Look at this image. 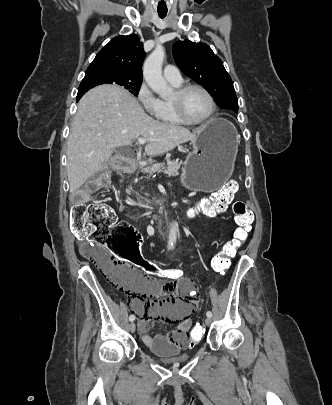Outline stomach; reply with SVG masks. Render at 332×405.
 I'll return each instance as SVG.
<instances>
[{
	"label": "stomach",
	"mask_w": 332,
	"mask_h": 405,
	"mask_svg": "<svg viewBox=\"0 0 332 405\" xmlns=\"http://www.w3.org/2000/svg\"><path fill=\"white\" fill-rule=\"evenodd\" d=\"M200 129L192 140L193 150L184 162L181 179L192 190L212 192L232 175L239 136L233 124L223 118H212Z\"/></svg>",
	"instance_id": "obj_1"
}]
</instances>
